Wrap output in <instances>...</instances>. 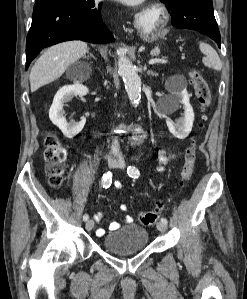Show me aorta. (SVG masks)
Instances as JSON below:
<instances>
[{"mask_svg": "<svg viewBox=\"0 0 247 299\" xmlns=\"http://www.w3.org/2000/svg\"><path fill=\"white\" fill-rule=\"evenodd\" d=\"M118 71L123 78L127 95L134 106H137L141 98V79L136 68L126 56L125 50L118 51ZM142 130L137 129L134 139H138Z\"/></svg>", "mask_w": 247, "mask_h": 299, "instance_id": "aorta-1", "label": "aorta"}]
</instances>
